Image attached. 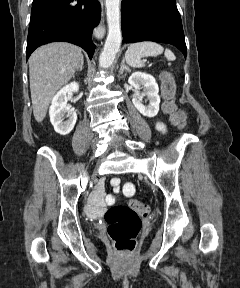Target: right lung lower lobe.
I'll list each match as a JSON object with an SVG mask.
<instances>
[{"mask_svg": "<svg viewBox=\"0 0 240 288\" xmlns=\"http://www.w3.org/2000/svg\"><path fill=\"white\" fill-rule=\"evenodd\" d=\"M98 0H33L26 59L39 46L65 41L82 47L91 59L93 28L100 21Z\"/></svg>", "mask_w": 240, "mask_h": 288, "instance_id": "right-lung-lower-lobe-1", "label": "right lung lower lobe"}]
</instances>
